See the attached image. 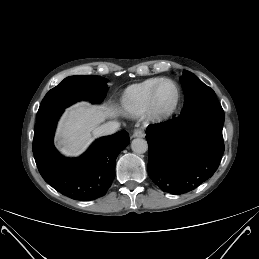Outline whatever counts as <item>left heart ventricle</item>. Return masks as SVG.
Segmentation results:
<instances>
[{
	"label": "left heart ventricle",
	"mask_w": 259,
	"mask_h": 259,
	"mask_svg": "<svg viewBox=\"0 0 259 259\" xmlns=\"http://www.w3.org/2000/svg\"><path fill=\"white\" fill-rule=\"evenodd\" d=\"M176 97V92L174 87L169 84H163L157 94V104L161 109H168L170 108Z\"/></svg>",
	"instance_id": "1"
}]
</instances>
